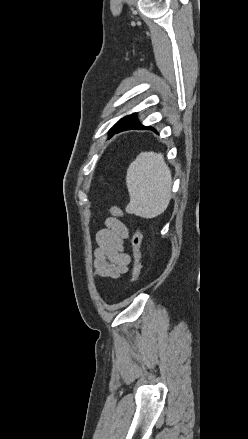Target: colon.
<instances>
[{
    "label": "colon",
    "mask_w": 248,
    "mask_h": 439,
    "mask_svg": "<svg viewBox=\"0 0 248 439\" xmlns=\"http://www.w3.org/2000/svg\"><path fill=\"white\" fill-rule=\"evenodd\" d=\"M141 244H142V231H141V228L138 227L135 230L134 235L131 239V245H132L133 256H134L132 280H131L132 283H135L138 280L140 273H141V269H142Z\"/></svg>",
    "instance_id": "colon-1"
}]
</instances>
